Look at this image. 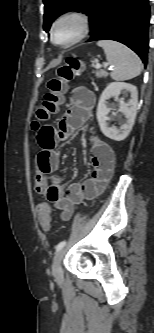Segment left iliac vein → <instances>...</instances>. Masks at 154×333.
I'll return each instance as SVG.
<instances>
[{
    "mask_svg": "<svg viewBox=\"0 0 154 333\" xmlns=\"http://www.w3.org/2000/svg\"><path fill=\"white\" fill-rule=\"evenodd\" d=\"M64 255V250L61 249L57 252V254L54 256L53 264H52V274L57 280L62 279V267H61V261Z\"/></svg>",
    "mask_w": 154,
    "mask_h": 333,
    "instance_id": "obj_1",
    "label": "left iliac vein"
}]
</instances>
